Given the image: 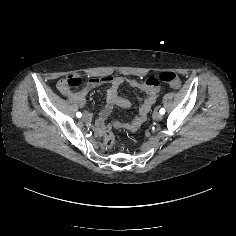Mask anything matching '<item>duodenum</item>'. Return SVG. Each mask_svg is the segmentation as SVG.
<instances>
[{
    "mask_svg": "<svg viewBox=\"0 0 236 236\" xmlns=\"http://www.w3.org/2000/svg\"><path fill=\"white\" fill-rule=\"evenodd\" d=\"M106 80H107L108 83L112 84V86L110 88V91H109L108 101L112 104H117V105L122 106V107L126 106L125 100L118 98L117 95H116V89L119 86V84L121 83V81L119 79H116V78H107ZM132 85L135 86V87L142 88L147 92L148 96H147V98L145 99V101L142 105V107H144L146 105V103L150 99H152V97L154 96V89L151 86L147 85V84H142L141 85V84H138L137 82H133ZM73 98L75 99V101L78 104L83 103L84 99L82 97L73 96ZM116 127L131 128V127H133V124L121 125V124L117 123Z\"/></svg>",
    "mask_w": 236,
    "mask_h": 236,
    "instance_id": "obj_1",
    "label": "duodenum"
}]
</instances>
